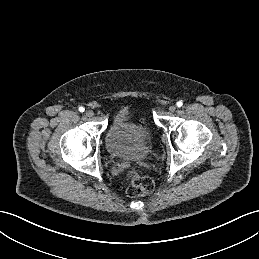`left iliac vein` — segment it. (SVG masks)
I'll return each instance as SVG.
<instances>
[{
	"label": "left iliac vein",
	"mask_w": 259,
	"mask_h": 259,
	"mask_svg": "<svg viewBox=\"0 0 259 259\" xmlns=\"http://www.w3.org/2000/svg\"><path fill=\"white\" fill-rule=\"evenodd\" d=\"M169 111H170V112H175V111H176V106H175V105H171V106L169 107Z\"/></svg>",
	"instance_id": "4c4485c4"
}]
</instances>
